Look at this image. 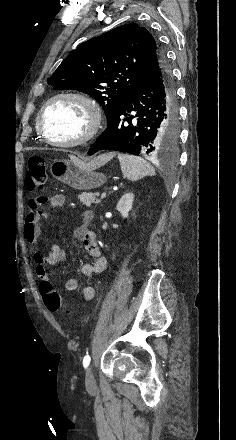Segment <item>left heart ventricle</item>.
I'll use <instances>...</instances> for the list:
<instances>
[{
    "label": "left heart ventricle",
    "instance_id": "left-heart-ventricle-1",
    "mask_svg": "<svg viewBox=\"0 0 236 440\" xmlns=\"http://www.w3.org/2000/svg\"><path fill=\"white\" fill-rule=\"evenodd\" d=\"M47 136L54 141H72L86 131L88 117L85 109L71 100L53 102L43 118Z\"/></svg>",
    "mask_w": 236,
    "mask_h": 440
}]
</instances>
